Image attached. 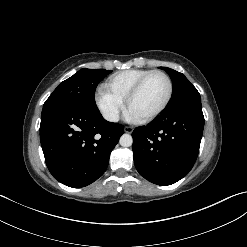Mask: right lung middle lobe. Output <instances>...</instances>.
<instances>
[{"label": "right lung middle lobe", "mask_w": 247, "mask_h": 247, "mask_svg": "<svg viewBox=\"0 0 247 247\" xmlns=\"http://www.w3.org/2000/svg\"><path fill=\"white\" fill-rule=\"evenodd\" d=\"M112 70L81 69L63 81L49 96L43 107L54 103H71L96 109L95 89L102 78Z\"/></svg>", "instance_id": "right-lung-middle-lobe-1"}]
</instances>
